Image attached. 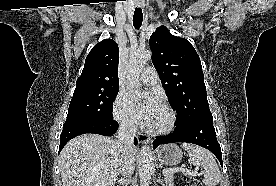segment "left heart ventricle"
<instances>
[{
  "mask_svg": "<svg viewBox=\"0 0 276 186\" xmlns=\"http://www.w3.org/2000/svg\"><path fill=\"white\" fill-rule=\"evenodd\" d=\"M168 113L166 110L161 106L151 124V128H160L165 126L168 123Z\"/></svg>",
  "mask_w": 276,
  "mask_h": 186,
  "instance_id": "obj_1",
  "label": "left heart ventricle"
}]
</instances>
